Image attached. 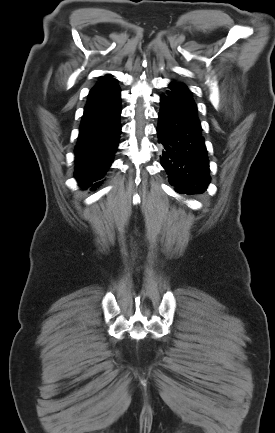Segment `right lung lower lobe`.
Segmentation results:
<instances>
[{
	"mask_svg": "<svg viewBox=\"0 0 275 433\" xmlns=\"http://www.w3.org/2000/svg\"><path fill=\"white\" fill-rule=\"evenodd\" d=\"M120 113V89L114 82L91 89L75 148V178L85 189L98 187L113 162L121 133Z\"/></svg>",
	"mask_w": 275,
	"mask_h": 433,
	"instance_id": "right-lung-lower-lobe-1",
	"label": "right lung lower lobe"
}]
</instances>
